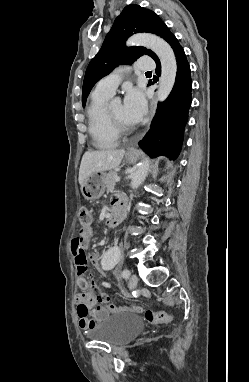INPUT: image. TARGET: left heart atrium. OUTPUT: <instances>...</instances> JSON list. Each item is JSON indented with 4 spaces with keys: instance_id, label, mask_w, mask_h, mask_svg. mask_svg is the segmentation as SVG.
<instances>
[{
    "instance_id": "39dd6f15",
    "label": "left heart atrium",
    "mask_w": 249,
    "mask_h": 382,
    "mask_svg": "<svg viewBox=\"0 0 249 382\" xmlns=\"http://www.w3.org/2000/svg\"><path fill=\"white\" fill-rule=\"evenodd\" d=\"M123 114L127 122L132 125L142 121L146 111V100L139 88H129L123 102Z\"/></svg>"
}]
</instances>
